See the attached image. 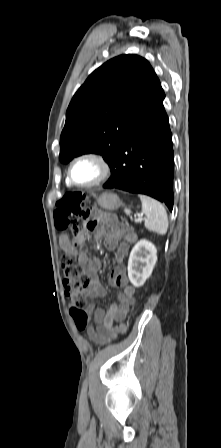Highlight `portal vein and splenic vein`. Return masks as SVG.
<instances>
[{"mask_svg": "<svg viewBox=\"0 0 221 448\" xmlns=\"http://www.w3.org/2000/svg\"><path fill=\"white\" fill-rule=\"evenodd\" d=\"M142 221H143L142 217L135 218V220H134L135 223H139V222H142Z\"/></svg>", "mask_w": 221, "mask_h": 448, "instance_id": "portal-vein-and-splenic-vein-1", "label": "portal vein and splenic vein"}]
</instances>
